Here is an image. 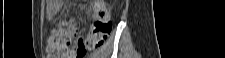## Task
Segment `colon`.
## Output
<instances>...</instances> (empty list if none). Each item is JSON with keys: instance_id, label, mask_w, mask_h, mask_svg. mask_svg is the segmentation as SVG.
<instances>
[{"instance_id": "1", "label": "colon", "mask_w": 225, "mask_h": 58, "mask_svg": "<svg viewBox=\"0 0 225 58\" xmlns=\"http://www.w3.org/2000/svg\"><path fill=\"white\" fill-rule=\"evenodd\" d=\"M93 22L85 37L79 36L78 28L69 21H61L54 30L49 43V56L52 58H84L88 52L98 49L107 41L112 22L110 13L102 1L93 2Z\"/></svg>"}]
</instances>
